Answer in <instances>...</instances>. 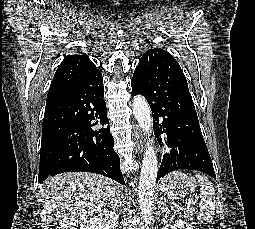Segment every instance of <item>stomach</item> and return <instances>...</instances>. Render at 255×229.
I'll return each instance as SVG.
<instances>
[{"label": "stomach", "mask_w": 255, "mask_h": 229, "mask_svg": "<svg viewBox=\"0 0 255 229\" xmlns=\"http://www.w3.org/2000/svg\"><path fill=\"white\" fill-rule=\"evenodd\" d=\"M195 188V178L180 171L168 174L159 184L160 191L170 199L189 196L194 192Z\"/></svg>", "instance_id": "0dacf381"}]
</instances>
